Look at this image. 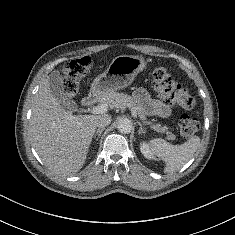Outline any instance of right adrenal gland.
Segmentation results:
<instances>
[{"mask_svg":"<svg viewBox=\"0 0 235 235\" xmlns=\"http://www.w3.org/2000/svg\"><path fill=\"white\" fill-rule=\"evenodd\" d=\"M105 127L99 128L97 129V131L95 132L93 138H96V136H98L97 140L100 138L102 132L104 131Z\"/></svg>","mask_w":235,"mask_h":235,"instance_id":"right-adrenal-gland-1","label":"right adrenal gland"}]
</instances>
